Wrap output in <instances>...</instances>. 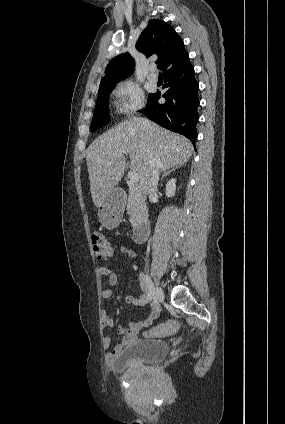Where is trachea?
<instances>
[{"instance_id": "3493384b", "label": "trachea", "mask_w": 285, "mask_h": 424, "mask_svg": "<svg viewBox=\"0 0 285 424\" xmlns=\"http://www.w3.org/2000/svg\"><path fill=\"white\" fill-rule=\"evenodd\" d=\"M157 68L160 70L161 69V65H158Z\"/></svg>"}]
</instances>
